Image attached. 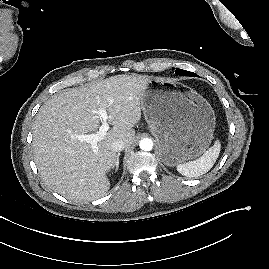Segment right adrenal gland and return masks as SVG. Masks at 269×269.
Returning <instances> with one entry per match:
<instances>
[{"label": "right adrenal gland", "mask_w": 269, "mask_h": 269, "mask_svg": "<svg viewBox=\"0 0 269 269\" xmlns=\"http://www.w3.org/2000/svg\"><path fill=\"white\" fill-rule=\"evenodd\" d=\"M119 157H120V153H118L117 157H116L115 173L118 171V168H119ZM113 169H114V167H113Z\"/></svg>", "instance_id": "obj_1"}]
</instances>
